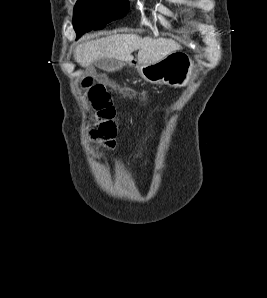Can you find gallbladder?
<instances>
[{"label":"gallbladder","mask_w":267,"mask_h":298,"mask_svg":"<svg viewBox=\"0 0 267 298\" xmlns=\"http://www.w3.org/2000/svg\"><path fill=\"white\" fill-rule=\"evenodd\" d=\"M94 64H95V66H97L98 68L103 69V70H111L119 65L115 60L109 59V58H103V59L96 60ZM87 73L90 75L93 74L94 67H89L87 69Z\"/></svg>","instance_id":"bac80fb5"}]
</instances>
